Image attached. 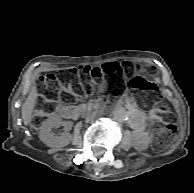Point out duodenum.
I'll return each instance as SVG.
<instances>
[{
  "mask_svg": "<svg viewBox=\"0 0 194 193\" xmlns=\"http://www.w3.org/2000/svg\"><path fill=\"white\" fill-rule=\"evenodd\" d=\"M78 114H79V108L75 105H69V106L65 107L62 111L63 117H65L67 119H73V118L77 117Z\"/></svg>",
  "mask_w": 194,
  "mask_h": 193,
  "instance_id": "1",
  "label": "duodenum"
}]
</instances>
